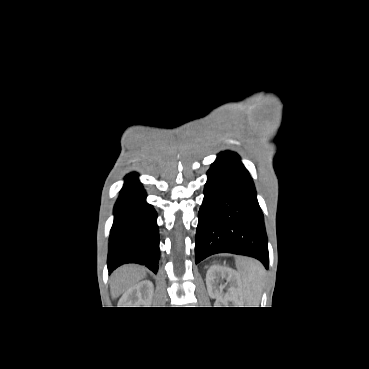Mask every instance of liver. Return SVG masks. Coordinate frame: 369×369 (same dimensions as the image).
Segmentation results:
<instances>
[{
	"label": "liver",
	"instance_id": "1",
	"mask_svg": "<svg viewBox=\"0 0 369 369\" xmlns=\"http://www.w3.org/2000/svg\"><path fill=\"white\" fill-rule=\"evenodd\" d=\"M146 276V271L136 265H127L117 269L111 278L112 298H117Z\"/></svg>",
	"mask_w": 369,
	"mask_h": 369
}]
</instances>
